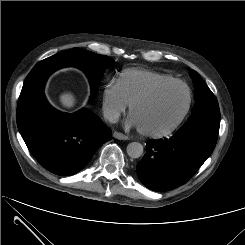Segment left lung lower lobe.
<instances>
[{"mask_svg":"<svg viewBox=\"0 0 245 245\" xmlns=\"http://www.w3.org/2000/svg\"><path fill=\"white\" fill-rule=\"evenodd\" d=\"M218 133L191 128L178 130L163 141H150L137 164L140 181L154 191H168L186 183L213 152Z\"/></svg>","mask_w":245,"mask_h":245,"instance_id":"1","label":"left lung lower lobe"}]
</instances>
